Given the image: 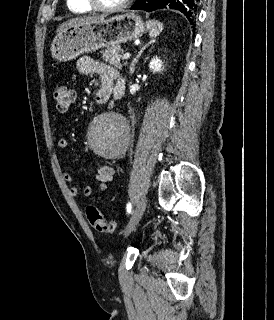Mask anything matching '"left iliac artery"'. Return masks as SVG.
<instances>
[{
    "label": "left iliac artery",
    "mask_w": 274,
    "mask_h": 320,
    "mask_svg": "<svg viewBox=\"0 0 274 320\" xmlns=\"http://www.w3.org/2000/svg\"><path fill=\"white\" fill-rule=\"evenodd\" d=\"M131 210H132V205H131V203H128L127 204V213L128 214L131 213Z\"/></svg>",
    "instance_id": "obj_1"
}]
</instances>
